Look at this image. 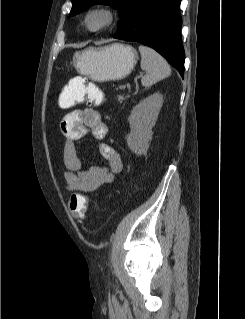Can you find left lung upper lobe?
Returning <instances> with one entry per match:
<instances>
[{"label": "left lung upper lobe", "mask_w": 245, "mask_h": 319, "mask_svg": "<svg viewBox=\"0 0 245 319\" xmlns=\"http://www.w3.org/2000/svg\"><path fill=\"white\" fill-rule=\"evenodd\" d=\"M139 0H72V9L70 15H76L85 8L94 5L96 3L112 5L118 9L120 14V23L117 28V33L122 30L126 22L128 21L133 8Z\"/></svg>", "instance_id": "1"}]
</instances>
